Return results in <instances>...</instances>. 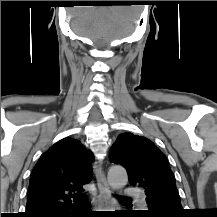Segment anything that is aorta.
<instances>
[{"mask_svg":"<svg viewBox=\"0 0 217 217\" xmlns=\"http://www.w3.org/2000/svg\"><path fill=\"white\" fill-rule=\"evenodd\" d=\"M108 183L112 189H121L128 182L126 170L121 166H112L108 171Z\"/></svg>","mask_w":217,"mask_h":217,"instance_id":"1","label":"aorta"}]
</instances>
